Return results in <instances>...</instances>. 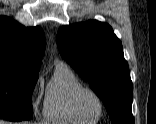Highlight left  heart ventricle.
<instances>
[{
	"label": "left heart ventricle",
	"instance_id": "obj_1",
	"mask_svg": "<svg viewBox=\"0 0 156 124\" xmlns=\"http://www.w3.org/2000/svg\"><path fill=\"white\" fill-rule=\"evenodd\" d=\"M80 107L89 119H94L99 115V102L91 94L85 93L81 96Z\"/></svg>",
	"mask_w": 156,
	"mask_h": 124
}]
</instances>
